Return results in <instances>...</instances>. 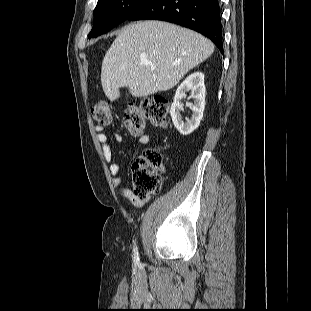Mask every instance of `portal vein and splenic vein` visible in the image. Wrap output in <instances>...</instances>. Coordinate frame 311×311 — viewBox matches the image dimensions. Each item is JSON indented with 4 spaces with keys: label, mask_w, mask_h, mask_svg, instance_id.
Wrapping results in <instances>:
<instances>
[{
    "label": "portal vein and splenic vein",
    "mask_w": 311,
    "mask_h": 311,
    "mask_svg": "<svg viewBox=\"0 0 311 311\" xmlns=\"http://www.w3.org/2000/svg\"><path fill=\"white\" fill-rule=\"evenodd\" d=\"M141 62L145 65H149L152 69H155V65L151 61H148L147 59L144 58V59H141Z\"/></svg>",
    "instance_id": "obj_1"
}]
</instances>
